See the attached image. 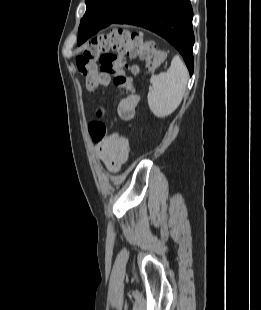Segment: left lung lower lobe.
<instances>
[{"label":"left lung lower lobe","mask_w":261,"mask_h":310,"mask_svg":"<svg viewBox=\"0 0 261 310\" xmlns=\"http://www.w3.org/2000/svg\"><path fill=\"white\" fill-rule=\"evenodd\" d=\"M193 11L190 0H126L109 21L89 20L78 35V45L110 24H131L149 29L169 41L182 55L190 75L194 69Z\"/></svg>","instance_id":"1"}]
</instances>
